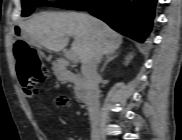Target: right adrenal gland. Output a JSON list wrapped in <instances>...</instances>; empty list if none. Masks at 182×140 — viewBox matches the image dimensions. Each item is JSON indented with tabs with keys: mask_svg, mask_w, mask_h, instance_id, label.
Returning a JSON list of instances; mask_svg holds the SVG:
<instances>
[{
	"mask_svg": "<svg viewBox=\"0 0 182 140\" xmlns=\"http://www.w3.org/2000/svg\"><path fill=\"white\" fill-rule=\"evenodd\" d=\"M117 57V54L114 52V53H110V54H106V60L104 62V65L103 67L101 68V72L104 71V69L106 68V66L108 65V63H110L114 58Z\"/></svg>",
	"mask_w": 182,
	"mask_h": 140,
	"instance_id": "2a0ac1e0",
	"label": "right adrenal gland"
}]
</instances>
